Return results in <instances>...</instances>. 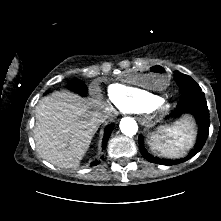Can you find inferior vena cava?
<instances>
[{"label":"inferior vena cava","instance_id":"inferior-vena-cava-1","mask_svg":"<svg viewBox=\"0 0 221 221\" xmlns=\"http://www.w3.org/2000/svg\"><path fill=\"white\" fill-rule=\"evenodd\" d=\"M112 109L109 107H105L100 113H99V121L101 123H104L108 119H112Z\"/></svg>","mask_w":221,"mask_h":221}]
</instances>
